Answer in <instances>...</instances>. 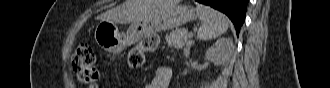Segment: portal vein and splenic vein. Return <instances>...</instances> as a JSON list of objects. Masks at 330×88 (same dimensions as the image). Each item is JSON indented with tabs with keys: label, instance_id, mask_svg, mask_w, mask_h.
<instances>
[{
	"label": "portal vein and splenic vein",
	"instance_id": "obj_1",
	"mask_svg": "<svg viewBox=\"0 0 330 88\" xmlns=\"http://www.w3.org/2000/svg\"><path fill=\"white\" fill-rule=\"evenodd\" d=\"M188 37L189 38H192L193 37V34L192 33H189Z\"/></svg>",
	"mask_w": 330,
	"mask_h": 88
}]
</instances>
